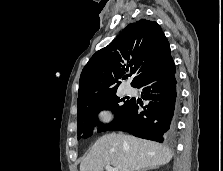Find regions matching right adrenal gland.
I'll use <instances>...</instances> for the list:
<instances>
[{"label": "right adrenal gland", "instance_id": "2a0ac1e0", "mask_svg": "<svg viewBox=\"0 0 223 171\" xmlns=\"http://www.w3.org/2000/svg\"><path fill=\"white\" fill-rule=\"evenodd\" d=\"M156 168H158V167L144 168V169H142V170H140V171H148V170H150V169H156Z\"/></svg>", "mask_w": 223, "mask_h": 171}]
</instances>
